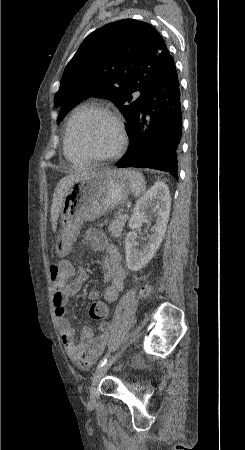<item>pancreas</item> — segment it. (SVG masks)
I'll return each mask as SVG.
<instances>
[{
	"mask_svg": "<svg viewBox=\"0 0 245 450\" xmlns=\"http://www.w3.org/2000/svg\"><path fill=\"white\" fill-rule=\"evenodd\" d=\"M125 222L126 219H123L122 215L116 217V219L112 221L108 226V230L109 232H111V235L114 237H120L125 226ZM100 226H103V224H100Z\"/></svg>",
	"mask_w": 245,
	"mask_h": 450,
	"instance_id": "1",
	"label": "pancreas"
}]
</instances>
